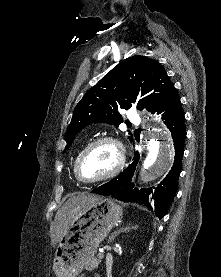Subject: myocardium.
<instances>
[{
	"mask_svg": "<svg viewBox=\"0 0 221 277\" xmlns=\"http://www.w3.org/2000/svg\"><path fill=\"white\" fill-rule=\"evenodd\" d=\"M103 143H109L111 144L116 152H117V162L116 165L114 166V168L109 171L108 173L104 174L103 176H100L98 178L95 179H85L81 176L80 174V164L82 159L84 158V156L94 147H96L97 145L103 144ZM125 163V149L123 144L115 137L112 136H102L99 137L95 140H93L92 142H90L89 144H87L82 151L78 154L76 160H75V164H74V173L76 178L86 184H93V183H98V182H102L105 180H108L114 176H116L121 169L123 168Z\"/></svg>",
	"mask_w": 221,
	"mask_h": 277,
	"instance_id": "1",
	"label": "myocardium"
}]
</instances>
